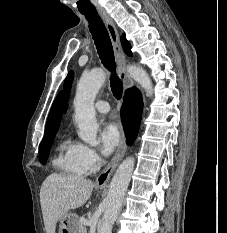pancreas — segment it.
I'll return each mask as SVG.
<instances>
[{"instance_id":"pancreas-1","label":"pancreas","mask_w":227,"mask_h":233,"mask_svg":"<svg viewBox=\"0 0 227 233\" xmlns=\"http://www.w3.org/2000/svg\"><path fill=\"white\" fill-rule=\"evenodd\" d=\"M77 233H86V227L82 222L78 223V232Z\"/></svg>"}]
</instances>
